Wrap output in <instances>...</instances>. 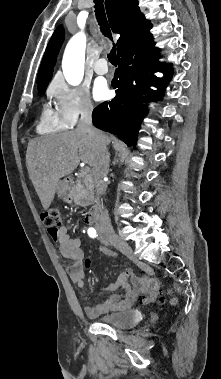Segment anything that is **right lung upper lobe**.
I'll return each mask as SVG.
<instances>
[{"label": "right lung upper lobe", "mask_w": 221, "mask_h": 379, "mask_svg": "<svg viewBox=\"0 0 221 379\" xmlns=\"http://www.w3.org/2000/svg\"><path fill=\"white\" fill-rule=\"evenodd\" d=\"M110 26L114 33L121 34L117 41V51L133 42L151 28L150 21L140 12L137 0H105ZM64 40V30L58 26L52 35L38 71L37 87L48 85L52 77L61 44Z\"/></svg>", "instance_id": "obj_1"}]
</instances>
